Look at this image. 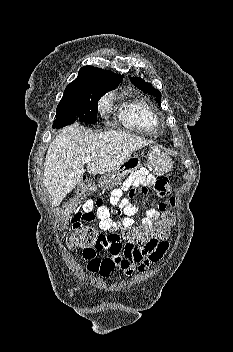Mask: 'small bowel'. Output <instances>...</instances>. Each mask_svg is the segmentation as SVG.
I'll list each match as a JSON object with an SVG mask.
<instances>
[{
  "mask_svg": "<svg viewBox=\"0 0 233 352\" xmlns=\"http://www.w3.org/2000/svg\"><path fill=\"white\" fill-rule=\"evenodd\" d=\"M92 189L90 182L83 184V195ZM169 191L168 181L164 177H154L144 168L131 173L120 188L112 191L110 203L116 206L115 210L103 205L101 200L86 199L82 210L72 219V229L78 230L85 223L98 219L99 228L105 232V240L99 245L84 249L82 256L87 262L86 269L97 273L101 277H109L115 270L131 274L134 270L143 271L150 263L159 261L168 248L167 241L149 246L122 244L119 230L137 227H152L159 219L165 208L164 198ZM127 192V196L123 193ZM140 194L154 198L156 206L145 211L137 225L132 218L136 207L130 202ZM96 212L94 213V207ZM108 250L110 256L101 258L98 252Z\"/></svg>",
  "mask_w": 233,
  "mask_h": 352,
  "instance_id": "small-bowel-1",
  "label": "small bowel"
}]
</instances>
